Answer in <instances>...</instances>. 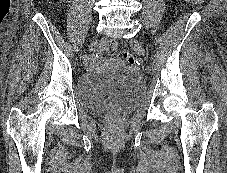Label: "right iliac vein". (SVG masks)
Here are the masks:
<instances>
[{"label": "right iliac vein", "mask_w": 227, "mask_h": 173, "mask_svg": "<svg viewBox=\"0 0 227 173\" xmlns=\"http://www.w3.org/2000/svg\"><path fill=\"white\" fill-rule=\"evenodd\" d=\"M96 45H97V41H94V42L91 44V47L94 48V47H96Z\"/></svg>", "instance_id": "right-iliac-vein-1"}]
</instances>
